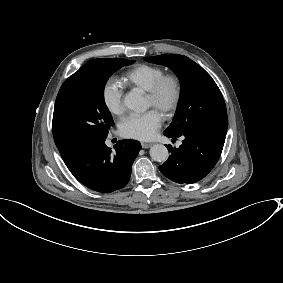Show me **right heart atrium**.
<instances>
[{
    "label": "right heart atrium",
    "instance_id": "1",
    "mask_svg": "<svg viewBox=\"0 0 283 283\" xmlns=\"http://www.w3.org/2000/svg\"><path fill=\"white\" fill-rule=\"evenodd\" d=\"M104 106L112 115H120L124 111V87L117 77L107 78L101 89Z\"/></svg>",
    "mask_w": 283,
    "mask_h": 283
}]
</instances>
